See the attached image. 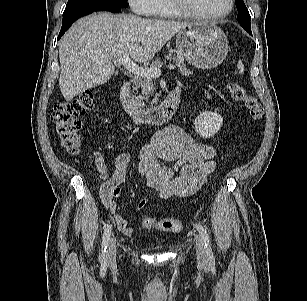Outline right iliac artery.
<instances>
[{"label":"right iliac artery","instance_id":"82829eb1","mask_svg":"<svg viewBox=\"0 0 307 301\" xmlns=\"http://www.w3.org/2000/svg\"><path fill=\"white\" fill-rule=\"evenodd\" d=\"M112 232V226L109 225L104 231L103 237H102V249H101V255L99 257V261L102 265L106 264V249H107V244L110 239Z\"/></svg>","mask_w":307,"mask_h":301}]
</instances>
